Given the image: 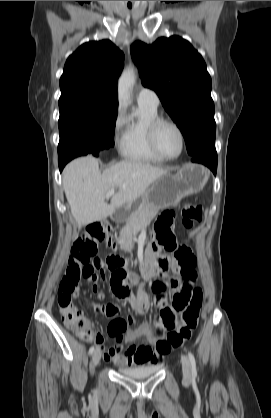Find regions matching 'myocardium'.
I'll list each match as a JSON object with an SVG mask.
<instances>
[{
    "mask_svg": "<svg viewBox=\"0 0 271 418\" xmlns=\"http://www.w3.org/2000/svg\"><path fill=\"white\" fill-rule=\"evenodd\" d=\"M164 125H169L171 127H173L180 138V150L178 152L177 155L175 156H168L166 154L163 153V151L160 149L159 144H158V132L160 130V128ZM148 139H149V143L150 146L152 148V150L163 160L165 161H172L175 159H178L185 148V135L184 132L182 130V128L173 120L167 119V118H160L158 117L157 119H155L149 126L148 129Z\"/></svg>",
    "mask_w": 271,
    "mask_h": 418,
    "instance_id": "1",
    "label": "myocardium"
}]
</instances>
